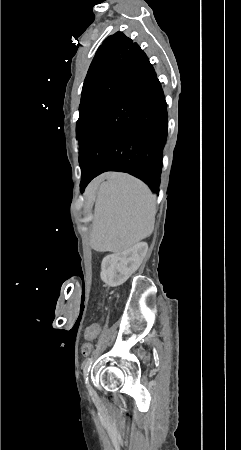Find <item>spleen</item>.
<instances>
[{"label":"spleen","instance_id":"3e777b00","mask_svg":"<svg viewBox=\"0 0 241 450\" xmlns=\"http://www.w3.org/2000/svg\"><path fill=\"white\" fill-rule=\"evenodd\" d=\"M98 211L89 240L95 253L121 254L151 236L155 218V196L146 184L129 174H111L97 196Z\"/></svg>","mask_w":241,"mask_h":450}]
</instances>
